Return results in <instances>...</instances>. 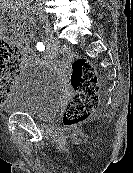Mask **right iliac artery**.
Segmentation results:
<instances>
[{"label":"right iliac artery","instance_id":"obj_1","mask_svg":"<svg viewBox=\"0 0 133 173\" xmlns=\"http://www.w3.org/2000/svg\"><path fill=\"white\" fill-rule=\"evenodd\" d=\"M34 21H35V19L34 18H32ZM43 44L45 45V47H51V43H49V37H44L43 38Z\"/></svg>","mask_w":133,"mask_h":173}]
</instances>
